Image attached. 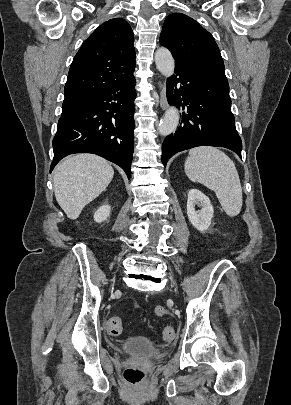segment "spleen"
<instances>
[{
  "instance_id": "obj_1",
  "label": "spleen",
  "mask_w": 291,
  "mask_h": 405,
  "mask_svg": "<svg viewBox=\"0 0 291 405\" xmlns=\"http://www.w3.org/2000/svg\"><path fill=\"white\" fill-rule=\"evenodd\" d=\"M185 173L193 182L214 190L225 213L234 217L242 208V187L233 161L214 147L190 150L184 165Z\"/></svg>"
}]
</instances>
